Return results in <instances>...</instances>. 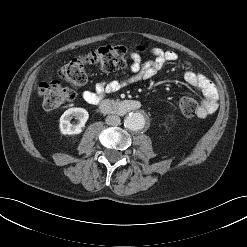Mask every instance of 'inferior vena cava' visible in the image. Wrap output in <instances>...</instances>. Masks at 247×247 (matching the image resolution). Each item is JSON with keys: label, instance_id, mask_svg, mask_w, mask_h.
<instances>
[{"label": "inferior vena cava", "instance_id": "602c4592", "mask_svg": "<svg viewBox=\"0 0 247 247\" xmlns=\"http://www.w3.org/2000/svg\"><path fill=\"white\" fill-rule=\"evenodd\" d=\"M105 121L107 125L117 126L120 124L121 119L117 115H108Z\"/></svg>", "mask_w": 247, "mask_h": 247}]
</instances>
